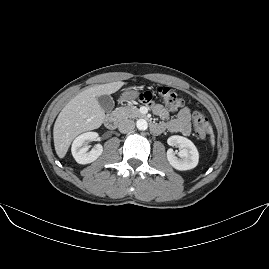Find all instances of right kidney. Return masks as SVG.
Returning a JSON list of instances; mask_svg holds the SVG:
<instances>
[{"label":"right kidney","mask_w":269,"mask_h":269,"mask_svg":"<svg viewBox=\"0 0 269 269\" xmlns=\"http://www.w3.org/2000/svg\"><path fill=\"white\" fill-rule=\"evenodd\" d=\"M90 139H99V133L90 131L83 133L74 139L71 147V153L78 163H90L101 155L103 151L101 144H96L90 151L87 150L85 144H87Z\"/></svg>","instance_id":"obj_1"}]
</instances>
